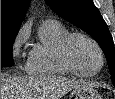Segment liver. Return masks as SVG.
<instances>
[{"instance_id": "1", "label": "liver", "mask_w": 115, "mask_h": 99, "mask_svg": "<svg viewBox=\"0 0 115 99\" xmlns=\"http://www.w3.org/2000/svg\"><path fill=\"white\" fill-rule=\"evenodd\" d=\"M82 84L62 76H5L1 74V99H60Z\"/></svg>"}]
</instances>
